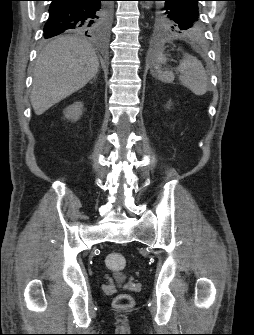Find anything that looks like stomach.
Here are the masks:
<instances>
[{
	"instance_id": "obj_1",
	"label": "stomach",
	"mask_w": 254,
	"mask_h": 335,
	"mask_svg": "<svg viewBox=\"0 0 254 335\" xmlns=\"http://www.w3.org/2000/svg\"><path fill=\"white\" fill-rule=\"evenodd\" d=\"M167 59H168L167 56L165 54H162V53H160L157 56V61H159L160 63H166Z\"/></svg>"
}]
</instances>
